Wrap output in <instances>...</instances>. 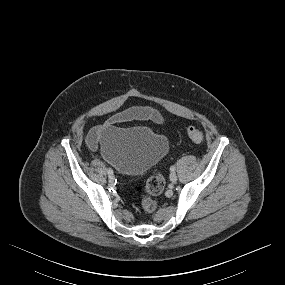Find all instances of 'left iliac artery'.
<instances>
[{
    "mask_svg": "<svg viewBox=\"0 0 285 285\" xmlns=\"http://www.w3.org/2000/svg\"><path fill=\"white\" fill-rule=\"evenodd\" d=\"M170 170H171V171H175V166H171V167H170Z\"/></svg>",
    "mask_w": 285,
    "mask_h": 285,
    "instance_id": "44dca946",
    "label": "left iliac artery"
}]
</instances>
